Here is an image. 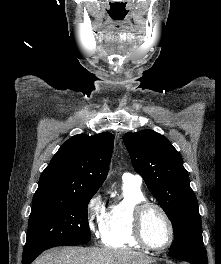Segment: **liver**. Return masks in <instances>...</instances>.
Masks as SVG:
<instances>
[{
	"label": "liver",
	"mask_w": 221,
	"mask_h": 264,
	"mask_svg": "<svg viewBox=\"0 0 221 264\" xmlns=\"http://www.w3.org/2000/svg\"><path fill=\"white\" fill-rule=\"evenodd\" d=\"M148 256L122 249L65 247L48 251L33 264H149Z\"/></svg>",
	"instance_id": "liver-1"
}]
</instances>
